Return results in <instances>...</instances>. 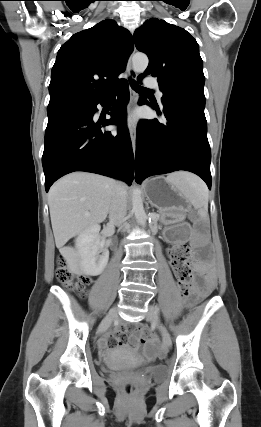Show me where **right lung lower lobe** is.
<instances>
[{
	"mask_svg": "<svg viewBox=\"0 0 261 427\" xmlns=\"http://www.w3.org/2000/svg\"><path fill=\"white\" fill-rule=\"evenodd\" d=\"M128 99V84L124 80L110 120H93L98 103L87 109L48 116L42 156L46 192L57 179L74 171L98 173L131 184L134 156L128 130L123 125ZM112 124L121 125L116 134L101 130Z\"/></svg>",
	"mask_w": 261,
	"mask_h": 427,
	"instance_id": "obj_1",
	"label": "right lung lower lobe"
}]
</instances>
